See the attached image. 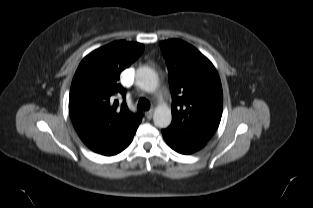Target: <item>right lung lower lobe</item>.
Here are the masks:
<instances>
[{
    "instance_id": "98d812e1",
    "label": "right lung lower lobe",
    "mask_w": 313,
    "mask_h": 208,
    "mask_svg": "<svg viewBox=\"0 0 313 208\" xmlns=\"http://www.w3.org/2000/svg\"><path fill=\"white\" fill-rule=\"evenodd\" d=\"M135 132L126 136L107 133L103 135L80 134L79 137L92 151L110 156L120 153L127 148Z\"/></svg>"
}]
</instances>
